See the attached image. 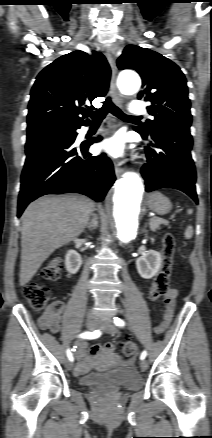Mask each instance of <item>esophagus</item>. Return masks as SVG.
I'll use <instances>...</instances> for the list:
<instances>
[{"mask_svg":"<svg viewBox=\"0 0 212 438\" xmlns=\"http://www.w3.org/2000/svg\"><path fill=\"white\" fill-rule=\"evenodd\" d=\"M105 55L111 68V90L113 95V101L116 105L120 106L122 102V97L118 93L117 84H116L117 67L115 64V60L112 54L108 50H106ZM122 172H123L122 168L117 163H115V175L119 177Z\"/></svg>","mask_w":212,"mask_h":438,"instance_id":"esophagus-1","label":"esophagus"}]
</instances>
